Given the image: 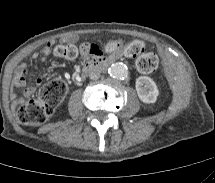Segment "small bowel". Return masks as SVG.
Returning a JSON list of instances; mask_svg holds the SVG:
<instances>
[{
	"label": "small bowel",
	"mask_w": 215,
	"mask_h": 183,
	"mask_svg": "<svg viewBox=\"0 0 215 183\" xmlns=\"http://www.w3.org/2000/svg\"><path fill=\"white\" fill-rule=\"evenodd\" d=\"M88 45V43H85L82 45L81 53L84 57H87L90 55V53L85 49V47ZM51 47V43H46L41 49L37 50L31 55V58L33 60H36L42 56H45L49 53ZM29 75V69L26 64H22L19 66L18 70L16 71V74L14 76L13 83L15 86L24 88V96L26 98L31 97L35 90L36 87L40 84V80L37 79L34 84L32 85H27V77ZM11 99L14 103V105H20L23 102V99L18 97L15 93L11 94Z\"/></svg>",
	"instance_id": "small-bowel-1"
}]
</instances>
